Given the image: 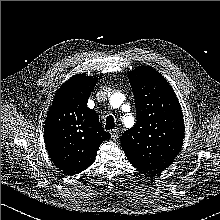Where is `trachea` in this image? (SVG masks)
I'll return each instance as SVG.
<instances>
[{"instance_id":"obj_1","label":"trachea","mask_w":220,"mask_h":220,"mask_svg":"<svg viewBox=\"0 0 220 220\" xmlns=\"http://www.w3.org/2000/svg\"><path fill=\"white\" fill-rule=\"evenodd\" d=\"M115 127V122L113 116L109 115L106 118V130L113 129Z\"/></svg>"}]
</instances>
